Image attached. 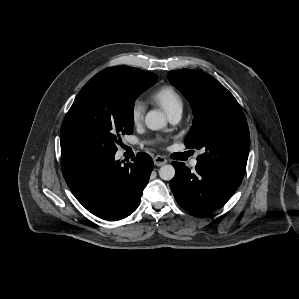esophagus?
Segmentation results:
<instances>
[{
    "instance_id": "1",
    "label": "esophagus",
    "mask_w": 299,
    "mask_h": 299,
    "mask_svg": "<svg viewBox=\"0 0 299 299\" xmlns=\"http://www.w3.org/2000/svg\"><path fill=\"white\" fill-rule=\"evenodd\" d=\"M154 164L156 166H162L167 163V159L163 156L157 155L153 158Z\"/></svg>"
}]
</instances>
